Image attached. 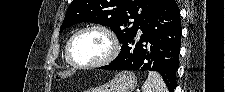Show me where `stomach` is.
Returning <instances> with one entry per match:
<instances>
[{
    "label": "stomach",
    "mask_w": 225,
    "mask_h": 92,
    "mask_svg": "<svg viewBox=\"0 0 225 92\" xmlns=\"http://www.w3.org/2000/svg\"><path fill=\"white\" fill-rule=\"evenodd\" d=\"M136 85V75L130 71H122L108 83L92 88L88 92H133Z\"/></svg>",
    "instance_id": "0dacf381"
}]
</instances>
